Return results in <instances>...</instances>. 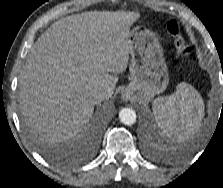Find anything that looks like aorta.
I'll list each match as a JSON object with an SVG mask.
<instances>
[{"label": "aorta", "instance_id": "762f6f07", "mask_svg": "<svg viewBox=\"0 0 223 188\" xmlns=\"http://www.w3.org/2000/svg\"><path fill=\"white\" fill-rule=\"evenodd\" d=\"M119 119L125 125H133L136 122V113L131 108H122L119 112Z\"/></svg>", "mask_w": 223, "mask_h": 188}]
</instances>
